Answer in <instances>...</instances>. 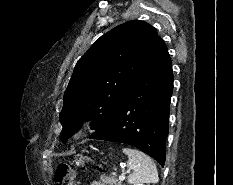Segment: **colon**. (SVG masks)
Segmentation results:
<instances>
[{
  "label": "colon",
  "mask_w": 233,
  "mask_h": 185,
  "mask_svg": "<svg viewBox=\"0 0 233 185\" xmlns=\"http://www.w3.org/2000/svg\"><path fill=\"white\" fill-rule=\"evenodd\" d=\"M76 169L69 163H60L55 172V185H74Z\"/></svg>",
  "instance_id": "5ec220e1"
}]
</instances>
